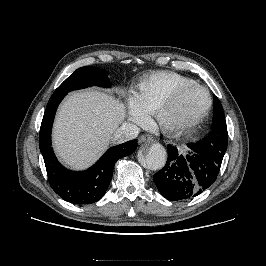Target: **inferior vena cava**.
I'll list each match as a JSON object with an SVG mask.
<instances>
[{"mask_svg":"<svg viewBox=\"0 0 266 266\" xmlns=\"http://www.w3.org/2000/svg\"><path fill=\"white\" fill-rule=\"evenodd\" d=\"M140 129L133 123H123L113 134L112 141L114 143H123L135 139Z\"/></svg>","mask_w":266,"mask_h":266,"instance_id":"obj_1","label":"inferior vena cava"}]
</instances>
